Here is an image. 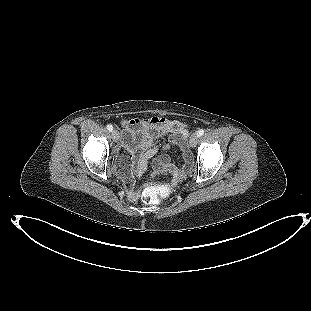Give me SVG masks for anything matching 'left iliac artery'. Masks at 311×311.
<instances>
[{
	"mask_svg": "<svg viewBox=\"0 0 311 311\" xmlns=\"http://www.w3.org/2000/svg\"><path fill=\"white\" fill-rule=\"evenodd\" d=\"M204 129H199L198 131H197V135H198V137H201L203 134H204Z\"/></svg>",
	"mask_w": 311,
	"mask_h": 311,
	"instance_id": "obj_1",
	"label": "left iliac artery"
}]
</instances>
